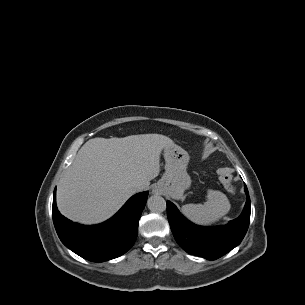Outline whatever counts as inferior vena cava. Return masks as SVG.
Masks as SVG:
<instances>
[{
	"label": "inferior vena cava",
	"instance_id": "inferior-vena-cava-1",
	"mask_svg": "<svg viewBox=\"0 0 305 305\" xmlns=\"http://www.w3.org/2000/svg\"><path fill=\"white\" fill-rule=\"evenodd\" d=\"M133 187H134V189L136 191H140L141 190V186L139 184H134Z\"/></svg>",
	"mask_w": 305,
	"mask_h": 305
}]
</instances>
